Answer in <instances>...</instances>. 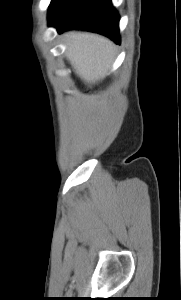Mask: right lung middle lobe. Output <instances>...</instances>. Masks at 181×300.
<instances>
[{"instance_id": "right-lung-middle-lobe-1", "label": "right lung middle lobe", "mask_w": 181, "mask_h": 300, "mask_svg": "<svg viewBox=\"0 0 181 300\" xmlns=\"http://www.w3.org/2000/svg\"><path fill=\"white\" fill-rule=\"evenodd\" d=\"M66 0H52L49 6L48 13H51L55 9H57L59 6H61Z\"/></svg>"}]
</instances>
